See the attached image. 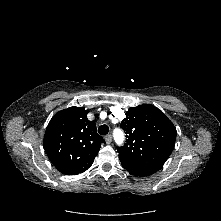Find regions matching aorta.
Listing matches in <instances>:
<instances>
[{
    "label": "aorta",
    "mask_w": 221,
    "mask_h": 221,
    "mask_svg": "<svg viewBox=\"0 0 221 221\" xmlns=\"http://www.w3.org/2000/svg\"><path fill=\"white\" fill-rule=\"evenodd\" d=\"M114 139L118 145H121L124 141V134L120 129L114 130Z\"/></svg>",
    "instance_id": "obj_1"
}]
</instances>
